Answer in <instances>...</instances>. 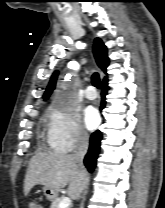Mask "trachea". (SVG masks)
Returning a JSON list of instances; mask_svg holds the SVG:
<instances>
[{"label":"trachea","mask_w":165,"mask_h":208,"mask_svg":"<svg viewBox=\"0 0 165 208\" xmlns=\"http://www.w3.org/2000/svg\"><path fill=\"white\" fill-rule=\"evenodd\" d=\"M91 80H92V84L96 88L100 89V87H101L100 77H99V74L97 72H95V73L92 74Z\"/></svg>","instance_id":"obj_1"}]
</instances>
